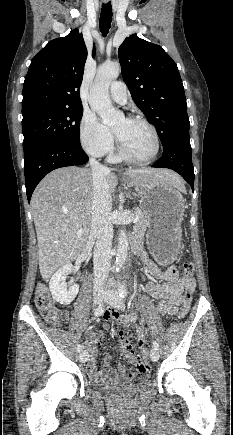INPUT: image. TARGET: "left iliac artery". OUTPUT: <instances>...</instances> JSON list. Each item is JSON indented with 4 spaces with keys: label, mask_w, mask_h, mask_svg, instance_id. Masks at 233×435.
Returning <instances> with one entry per match:
<instances>
[{
    "label": "left iliac artery",
    "mask_w": 233,
    "mask_h": 435,
    "mask_svg": "<svg viewBox=\"0 0 233 435\" xmlns=\"http://www.w3.org/2000/svg\"><path fill=\"white\" fill-rule=\"evenodd\" d=\"M126 295H127V291H126L125 286L123 284H120V286H119V296L122 297V298H125ZM152 345H153L154 349H156V350L159 349V345H158V343L156 341H153Z\"/></svg>",
    "instance_id": "44dca946"
}]
</instances>
